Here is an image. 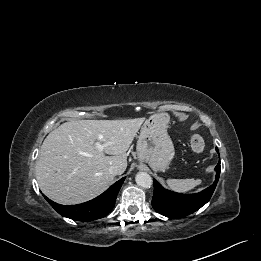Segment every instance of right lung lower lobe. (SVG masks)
I'll return each instance as SVG.
<instances>
[{"label":"right lung lower lobe","mask_w":261,"mask_h":261,"mask_svg":"<svg viewBox=\"0 0 261 261\" xmlns=\"http://www.w3.org/2000/svg\"><path fill=\"white\" fill-rule=\"evenodd\" d=\"M124 178L113 184L100 196L88 202L65 206L57 204L45 197L49 204L62 216L79 221H91L105 217L114 207L117 194Z\"/></svg>","instance_id":"98d812e1"}]
</instances>
